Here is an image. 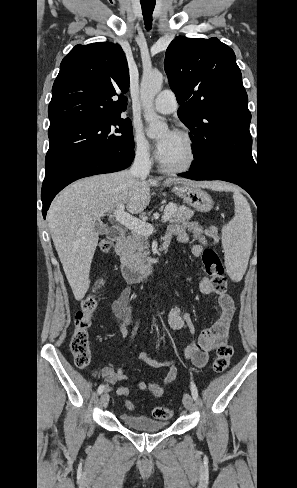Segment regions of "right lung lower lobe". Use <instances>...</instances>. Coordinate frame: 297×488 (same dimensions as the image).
Listing matches in <instances>:
<instances>
[{
    "label": "right lung lower lobe",
    "instance_id": "1",
    "mask_svg": "<svg viewBox=\"0 0 297 488\" xmlns=\"http://www.w3.org/2000/svg\"><path fill=\"white\" fill-rule=\"evenodd\" d=\"M134 155L133 149L84 155L45 175L41 192L43 217L54 197L68 184L83 177L123 170L130 166Z\"/></svg>",
    "mask_w": 297,
    "mask_h": 488
}]
</instances>
